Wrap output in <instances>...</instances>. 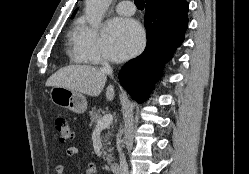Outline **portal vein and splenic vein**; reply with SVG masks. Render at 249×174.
I'll return each mask as SVG.
<instances>
[{"instance_id":"1","label":"portal vein and splenic vein","mask_w":249,"mask_h":174,"mask_svg":"<svg viewBox=\"0 0 249 174\" xmlns=\"http://www.w3.org/2000/svg\"><path fill=\"white\" fill-rule=\"evenodd\" d=\"M113 121V117L110 113L105 114L96 124V130H104L108 128Z\"/></svg>"}]
</instances>
